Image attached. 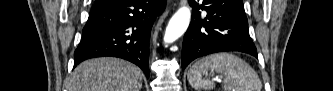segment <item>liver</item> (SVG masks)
Returning <instances> with one entry per match:
<instances>
[{
  "mask_svg": "<svg viewBox=\"0 0 333 91\" xmlns=\"http://www.w3.org/2000/svg\"><path fill=\"white\" fill-rule=\"evenodd\" d=\"M143 73L118 58L90 59L78 65L70 78L69 91H140Z\"/></svg>",
  "mask_w": 333,
  "mask_h": 91,
  "instance_id": "obj_1",
  "label": "liver"
}]
</instances>
